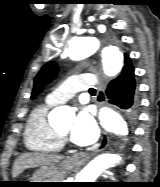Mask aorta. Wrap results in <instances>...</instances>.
<instances>
[{"instance_id": "762f6f07", "label": "aorta", "mask_w": 160, "mask_h": 187, "mask_svg": "<svg viewBox=\"0 0 160 187\" xmlns=\"http://www.w3.org/2000/svg\"><path fill=\"white\" fill-rule=\"evenodd\" d=\"M101 51L103 71L107 76L117 75L123 65V55L114 46L101 48V40L96 36L78 37L71 41L68 54L74 60L87 58ZM70 109L68 107L55 108L51 114V119H64L69 117ZM100 121L102 127L116 135L126 137L128 127L125 120L115 111L102 108L100 111ZM121 156L118 153H105L94 158L77 175L75 182H95V180L107 169L118 165Z\"/></svg>"}]
</instances>
